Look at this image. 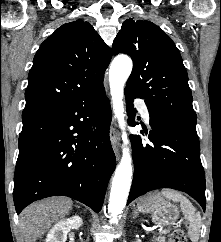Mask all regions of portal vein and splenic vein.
<instances>
[{
  "label": "portal vein and splenic vein",
  "instance_id": "18ae733b",
  "mask_svg": "<svg viewBox=\"0 0 221 242\" xmlns=\"http://www.w3.org/2000/svg\"><path fill=\"white\" fill-rule=\"evenodd\" d=\"M164 232H168V230H164Z\"/></svg>",
  "mask_w": 221,
  "mask_h": 242
}]
</instances>
